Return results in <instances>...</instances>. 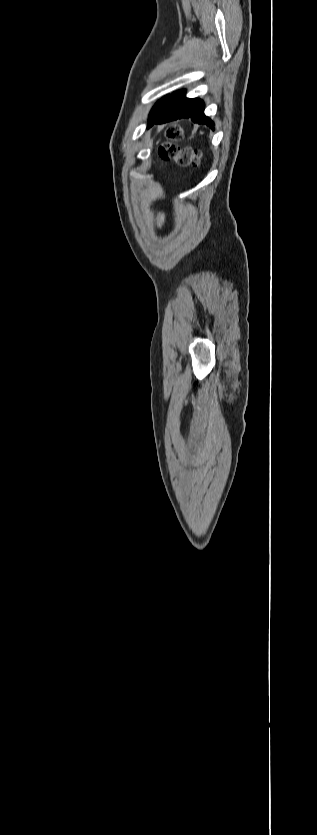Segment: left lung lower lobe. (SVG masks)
<instances>
[{
    "mask_svg": "<svg viewBox=\"0 0 317 835\" xmlns=\"http://www.w3.org/2000/svg\"><path fill=\"white\" fill-rule=\"evenodd\" d=\"M182 118L206 124L214 130V122L204 114V102L200 99L186 98L184 90L176 91L169 96L159 112L150 118L148 128L154 123L164 124Z\"/></svg>",
    "mask_w": 317,
    "mask_h": 835,
    "instance_id": "left-lung-lower-lobe-1",
    "label": "left lung lower lobe"
}]
</instances>
